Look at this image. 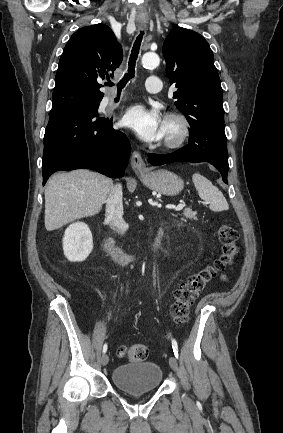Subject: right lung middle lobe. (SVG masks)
Segmentation results:
<instances>
[{"mask_svg":"<svg viewBox=\"0 0 283 433\" xmlns=\"http://www.w3.org/2000/svg\"><path fill=\"white\" fill-rule=\"evenodd\" d=\"M99 104H100V101L99 102H95V103H91V104H87V105H84V106H81V107H78V108H75V109H72V110H70L68 112H72V111H76V110H80V109L98 107Z\"/></svg>","mask_w":283,"mask_h":433,"instance_id":"obj_1","label":"right lung middle lobe"}]
</instances>
